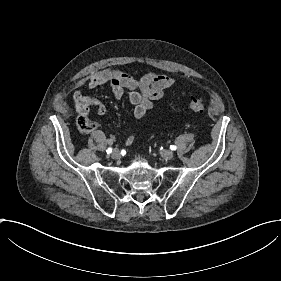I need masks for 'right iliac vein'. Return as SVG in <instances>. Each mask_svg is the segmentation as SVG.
Returning a JSON list of instances; mask_svg holds the SVG:
<instances>
[{"mask_svg": "<svg viewBox=\"0 0 281 281\" xmlns=\"http://www.w3.org/2000/svg\"><path fill=\"white\" fill-rule=\"evenodd\" d=\"M111 155H112V157H113L115 160H117V161L120 160L121 157H122L121 154H120L118 151H116V150L113 151Z\"/></svg>", "mask_w": 281, "mask_h": 281, "instance_id": "1", "label": "right iliac vein"}]
</instances>
